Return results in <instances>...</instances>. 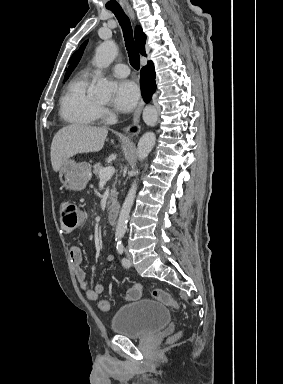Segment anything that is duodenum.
<instances>
[{"label": "duodenum", "mask_w": 283, "mask_h": 384, "mask_svg": "<svg viewBox=\"0 0 283 384\" xmlns=\"http://www.w3.org/2000/svg\"><path fill=\"white\" fill-rule=\"evenodd\" d=\"M118 217H119V208H118V206H115L114 208L109 210V212L107 214L108 222L111 225H115L118 221Z\"/></svg>", "instance_id": "410a0bca"}]
</instances>
